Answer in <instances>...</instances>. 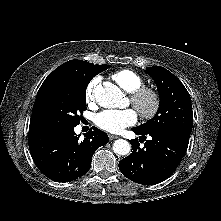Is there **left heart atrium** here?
I'll return each instance as SVG.
<instances>
[{"label":"left heart atrium","mask_w":221,"mask_h":221,"mask_svg":"<svg viewBox=\"0 0 221 221\" xmlns=\"http://www.w3.org/2000/svg\"><path fill=\"white\" fill-rule=\"evenodd\" d=\"M137 113L133 109L115 110L107 109L96 114L95 125L109 133H120L137 121Z\"/></svg>","instance_id":"left-heart-atrium-1"}]
</instances>
